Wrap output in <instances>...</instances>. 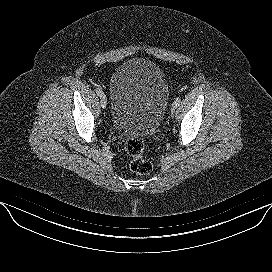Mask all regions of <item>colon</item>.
I'll list each match as a JSON object with an SVG mask.
<instances>
[{
	"label": "colon",
	"instance_id": "1",
	"mask_svg": "<svg viewBox=\"0 0 272 272\" xmlns=\"http://www.w3.org/2000/svg\"><path fill=\"white\" fill-rule=\"evenodd\" d=\"M126 152L130 157V169L139 175L149 174L153 169L152 162L144 156L145 145L139 138H131L126 142Z\"/></svg>",
	"mask_w": 272,
	"mask_h": 272
}]
</instances>
